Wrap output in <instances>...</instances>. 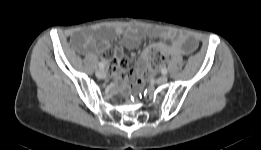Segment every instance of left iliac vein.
I'll return each mask as SVG.
<instances>
[{"mask_svg": "<svg viewBox=\"0 0 261 150\" xmlns=\"http://www.w3.org/2000/svg\"><path fill=\"white\" fill-rule=\"evenodd\" d=\"M167 81H168L167 76L163 75V76L159 77L156 82H157L158 84H164V83H166Z\"/></svg>", "mask_w": 261, "mask_h": 150, "instance_id": "1", "label": "left iliac vein"}]
</instances>
